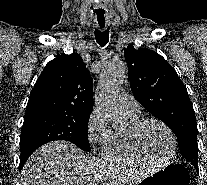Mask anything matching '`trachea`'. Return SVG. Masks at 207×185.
I'll return each instance as SVG.
<instances>
[{"instance_id": "trachea-1", "label": "trachea", "mask_w": 207, "mask_h": 185, "mask_svg": "<svg viewBox=\"0 0 207 185\" xmlns=\"http://www.w3.org/2000/svg\"><path fill=\"white\" fill-rule=\"evenodd\" d=\"M95 39L97 43L101 45V47H104L109 40V28H107V30L104 31L95 29Z\"/></svg>"}]
</instances>
